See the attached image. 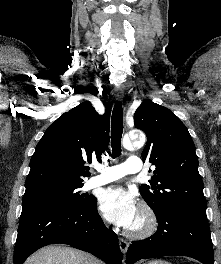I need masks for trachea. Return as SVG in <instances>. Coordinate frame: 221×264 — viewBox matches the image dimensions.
Segmentation results:
<instances>
[{"label": "trachea", "mask_w": 221, "mask_h": 264, "mask_svg": "<svg viewBox=\"0 0 221 264\" xmlns=\"http://www.w3.org/2000/svg\"><path fill=\"white\" fill-rule=\"evenodd\" d=\"M123 133V109L121 103H116L111 119V147L112 158L121 155V138Z\"/></svg>", "instance_id": "1"}]
</instances>
